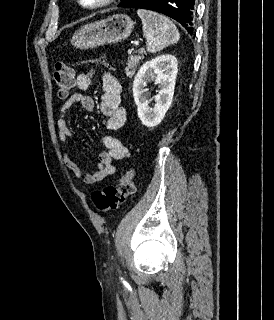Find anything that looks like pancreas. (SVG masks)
<instances>
[{"label":"pancreas","mask_w":274,"mask_h":320,"mask_svg":"<svg viewBox=\"0 0 274 320\" xmlns=\"http://www.w3.org/2000/svg\"><path fill=\"white\" fill-rule=\"evenodd\" d=\"M144 54H146L144 50H138V52H134V54H128L125 68L126 76H128V78L134 76L137 64H140V60H144Z\"/></svg>","instance_id":"1"}]
</instances>
